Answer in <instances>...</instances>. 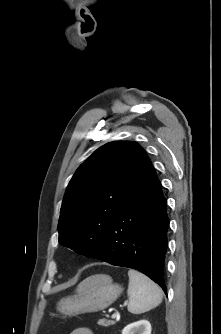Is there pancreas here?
I'll list each match as a JSON object with an SVG mask.
<instances>
[{
	"label": "pancreas",
	"mask_w": 221,
	"mask_h": 334,
	"mask_svg": "<svg viewBox=\"0 0 221 334\" xmlns=\"http://www.w3.org/2000/svg\"><path fill=\"white\" fill-rule=\"evenodd\" d=\"M97 323L100 326L108 327L110 325H114L115 321L107 320V319H99Z\"/></svg>",
	"instance_id": "1"
}]
</instances>
